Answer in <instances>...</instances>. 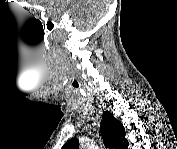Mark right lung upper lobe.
<instances>
[{"instance_id": "right-lung-upper-lobe-1", "label": "right lung upper lobe", "mask_w": 177, "mask_h": 149, "mask_svg": "<svg viewBox=\"0 0 177 149\" xmlns=\"http://www.w3.org/2000/svg\"><path fill=\"white\" fill-rule=\"evenodd\" d=\"M102 133L105 146L109 148L125 149L128 141L125 140V129L122 123L117 120L111 113L104 112L102 116ZM64 149H79L77 138H73L65 143Z\"/></svg>"}]
</instances>
